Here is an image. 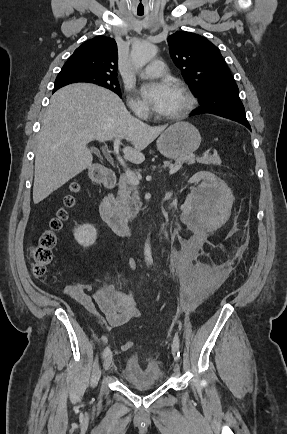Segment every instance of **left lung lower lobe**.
Returning <instances> with one entry per match:
<instances>
[{
  "label": "left lung lower lobe",
  "instance_id": "1",
  "mask_svg": "<svg viewBox=\"0 0 287 434\" xmlns=\"http://www.w3.org/2000/svg\"><path fill=\"white\" fill-rule=\"evenodd\" d=\"M204 113H211L215 114L224 118H228L231 120H234L236 122H239L246 126L248 129L251 130L250 124L248 123L245 115V109H233V108H220V109H207V108H198L194 112L191 113V116L193 115H199Z\"/></svg>",
  "mask_w": 287,
  "mask_h": 434
}]
</instances>
